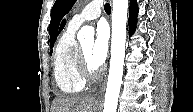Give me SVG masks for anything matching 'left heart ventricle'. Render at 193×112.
Returning <instances> with one entry per match:
<instances>
[{"label":"left heart ventricle","mask_w":193,"mask_h":112,"mask_svg":"<svg viewBox=\"0 0 193 112\" xmlns=\"http://www.w3.org/2000/svg\"><path fill=\"white\" fill-rule=\"evenodd\" d=\"M82 49L84 51L86 60L88 62V65L90 66V68L92 70H96L99 68V66H97L91 56V52H92V47H93V41H87L81 44Z\"/></svg>","instance_id":"1"}]
</instances>
